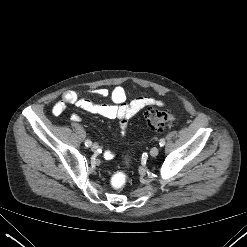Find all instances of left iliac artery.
Masks as SVG:
<instances>
[{
  "label": "left iliac artery",
  "instance_id": "obj_1",
  "mask_svg": "<svg viewBox=\"0 0 247 247\" xmlns=\"http://www.w3.org/2000/svg\"><path fill=\"white\" fill-rule=\"evenodd\" d=\"M159 145H160V147H163L165 145V140L164 139H160Z\"/></svg>",
  "mask_w": 247,
  "mask_h": 247
}]
</instances>
